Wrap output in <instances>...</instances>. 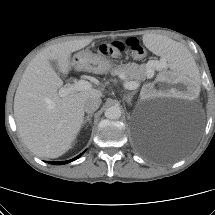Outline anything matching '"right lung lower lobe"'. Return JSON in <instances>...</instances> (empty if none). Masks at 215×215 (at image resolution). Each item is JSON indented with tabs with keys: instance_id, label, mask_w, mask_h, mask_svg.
I'll use <instances>...</instances> for the list:
<instances>
[{
	"instance_id": "right-lung-lower-lobe-1",
	"label": "right lung lower lobe",
	"mask_w": 215,
	"mask_h": 215,
	"mask_svg": "<svg viewBox=\"0 0 215 215\" xmlns=\"http://www.w3.org/2000/svg\"><path fill=\"white\" fill-rule=\"evenodd\" d=\"M82 154H83V153H81L79 156H77V157H75V158H73V159H71V160H68V161H62V162H49V163H51V164H55V165H62V164H66V163H69V162H71V161H73V160L78 159Z\"/></svg>"
}]
</instances>
